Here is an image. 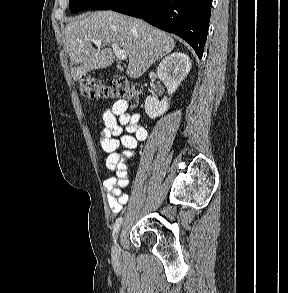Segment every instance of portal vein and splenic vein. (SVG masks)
<instances>
[{"label":"portal vein and splenic vein","instance_id":"18ae733b","mask_svg":"<svg viewBox=\"0 0 288 293\" xmlns=\"http://www.w3.org/2000/svg\"><path fill=\"white\" fill-rule=\"evenodd\" d=\"M92 42L96 46H100L103 43V41L100 39H92ZM111 47H112L113 52H114L115 56L117 57V59H119V60H126L127 59L126 51L120 49V47L114 43H111Z\"/></svg>","mask_w":288,"mask_h":293}]
</instances>
